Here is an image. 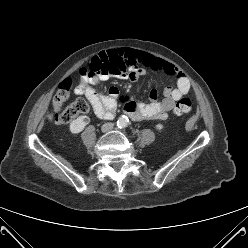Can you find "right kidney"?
I'll use <instances>...</instances> for the list:
<instances>
[{
	"mask_svg": "<svg viewBox=\"0 0 248 248\" xmlns=\"http://www.w3.org/2000/svg\"><path fill=\"white\" fill-rule=\"evenodd\" d=\"M90 118L86 115L84 116H79L77 119L73 120L70 123V132L73 134L80 133L81 131L84 130L85 126L89 123Z\"/></svg>",
	"mask_w": 248,
	"mask_h": 248,
	"instance_id": "obj_1",
	"label": "right kidney"
}]
</instances>
